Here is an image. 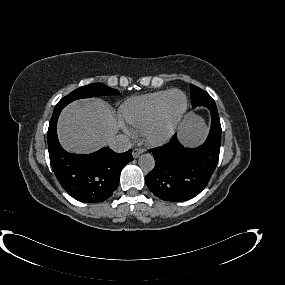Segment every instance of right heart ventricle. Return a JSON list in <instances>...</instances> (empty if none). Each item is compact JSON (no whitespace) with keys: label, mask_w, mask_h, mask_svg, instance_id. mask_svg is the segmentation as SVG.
Masks as SVG:
<instances>
[{"label":"right heart ventricle","mask_w":285,"mask_h":285,"mask_svg":"<svg viewBox=\"0 0 285 285\" xmlns=\"http://www.w3.org/2000/svg\"><path fill=\"white\" fill-rule=\"evenodd\" d=\"M170 91L164 90L125 100L120 107L122 118L136 132L143 133L147 125L159 114Z\"/></svg>","instance_id":"right-heart-ventricle-1"}]
</instances>
